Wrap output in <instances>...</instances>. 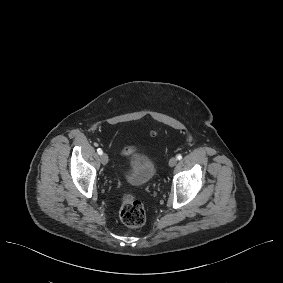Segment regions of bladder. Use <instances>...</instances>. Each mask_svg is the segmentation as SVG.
Masks as SVG:
<instances>
[{"label": "bladder", "instance_id": "1", "mask_svg": "<svg viewBox=\"0 0 283 283\" xmlns=\"http://www.w3.org/2000/svg\"><path fill=\"white\" fill-rule=\"evenodd\" d=\"M155 170L154 160L149 159L145 154H139L134 167L130 171L128 182L135 185L148 181L153 177Z\"/></svg>", "mask_w": 283, "mask_h": 283}]
</instances>
